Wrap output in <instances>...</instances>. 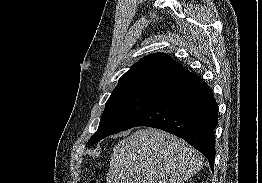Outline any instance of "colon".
Listing matches in <instances>:
<instances>
[{"mask_svg":"<svg viewBox=\"0 0 262 183\" xmlns=\"http://www.w3.org/2000/svg\"><path fill=\"white\" fill-rule=\"evenodd\" d=\"M88 183H99L96 180H90Z\"/></svg>","mask_w":262,"mask_h":183,"instance_id":"colon-1","label":"colon"}]
</instances>
